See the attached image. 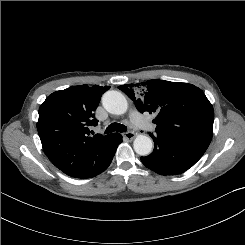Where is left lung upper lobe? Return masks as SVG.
Returning a JSON list of instances; mask_svg holds the SVG:
<instances>
[{
	"mask_svg": "<svg viewBox=\"0 0 245 245\" xmlns=\"http://www.w3.org/2000/svg\"><path fill=\"white\" fill-rule=\"evenodd\" d=\"M141 113L156 114V133L190 138L209 145L213 135L214 111L196 86L165 80L121 85ZM138 90V92H136Z\"/></svg>",
	"mask_w": 245,
	"mask_h": 245,
	"instance_id": "5c2ea615",
	"label": "left lung upper lobe"
}]
</instances>
